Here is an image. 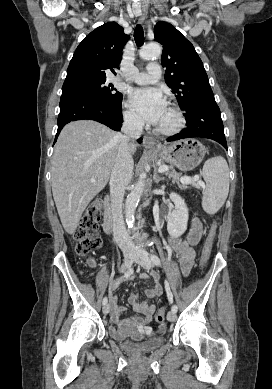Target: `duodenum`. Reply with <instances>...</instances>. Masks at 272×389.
<instances>
[{
    "mask_svg": "<svg viewBox=\"0 0 272 389\" xmlns=\"http://www.w3.org/2000/svg\"><path fill=\"white\" fill-rule=\"evenodd\" d=\"M103 207H104V217H103V229L107 234H110L112 231V210H111V200L107 195L103 199Z\"/></svg>",
    "mask_w": 272,
    "mask_h": 389,
    "instance_id": "1",
    "label": "duodenum"
}]
</instances>
